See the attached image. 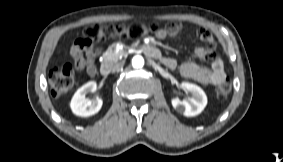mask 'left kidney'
I'll list each match as a JSON object with an SVG mask.
<instances>
[{"label": "left kidney", "mask_w": 283, "mask_h": 162, "mask_svg": "<svg viewBox=\"0 0 283 162\" xmlns=\"http://www.w3.org/2000/svg\"><path fill=\"white\" fill-rule=\"evenodd\" d=\"M181 88L188 91L191 96L180 100L172 98L171 104L173 108L184 116L191 117L200 114L207 105V96L205 92L197 85L189 82H182Z\"/></svg>", "instance_id": "1"}]
</instances>
